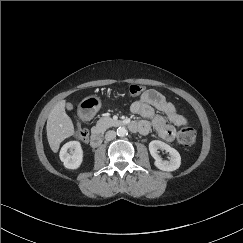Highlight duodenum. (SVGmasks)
Masks as SVG:
<instances>
[{"mask_svg":"<svg viewBox=\"0 0 243 243\" xmlns=\"http://www.w3.org/2000/svg\"><path fill=\"white\" fill-rule=\"evenodd\" d=\"M119 125L128 127L130 130L137 132L140 125L136 122H120ZM102 141V134L99 130L94 129L90 135V144L92 147H98Z\"/></svg>","mask_w":243,"mask_h":243,"instance_id":"1","label":"duodenum"}]
</instances>
